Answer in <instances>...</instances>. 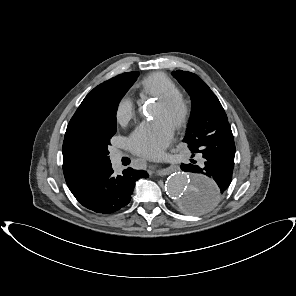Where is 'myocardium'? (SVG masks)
I'll list each match as a JSON object with an SVG mask.
<instances>
[{
  "instance_id": "f54148a6",
  "label": "myocardium",
  "mask_w": 296,
  "mask_h": 296,
  "mask_svg": "<svg viewBox=\"0 0 296 296\" xmlns=\"http://www.w3.org/2000/svg\"><path fill=\"white\" fill-rule=\"evenodd\" d=\"M165 108L174 112L173 128L181 129L189 120L191 107L189 101L181 94H171L158 98Z\"/></svg>"
}]
</instances>
